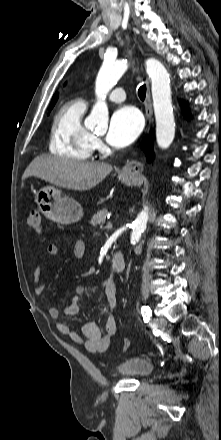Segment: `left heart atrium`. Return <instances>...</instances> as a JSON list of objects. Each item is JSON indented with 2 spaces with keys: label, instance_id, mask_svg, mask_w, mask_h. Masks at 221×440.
Returning a JSON list of instances; mask_svg holds the SVG:
<instances>
[{
  "label": "left heart atrium",
  "instance_id": "39dd6f15",
  "mask_svg": "<svg viewBox=\"0 0 221 440\" xmlns=\"http://www.w3.org/2000/svg\"><path fill=\"white\" fill-rule=\"evenodd\" d=\"M142 128V117L133 107L124 106L114 112L107 132V142L116 148L131 144Z\"/></svg>",
  "mask_w": 221,
  "mask_h": 440
}]
</instances>
